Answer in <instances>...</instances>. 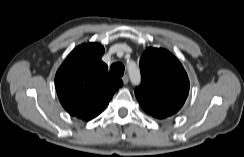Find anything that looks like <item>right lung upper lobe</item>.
I'll return each mask as SVG.
<instances>
[{
    "mask_svg": "<svg viewBox=\"0 0 244 157\" xmlns=\"http://www.w3.org/2000/svg\"><path fill=\"white\" fill-rule=\"evenodd\" d=\"M104 47L98 43L76 47L58 69L55 87L62 106L85 121L99 115L110 102L121 79L108 73L101 61Z\"/></svg>",
    "mask_w": 244,
    "mask_h": 157,
    "instance_id": "cb5924a9",
    "label": "right lung upper lobe"
}]
</instances>
